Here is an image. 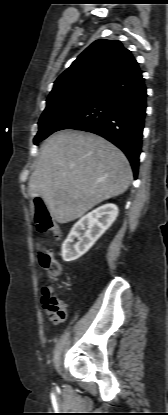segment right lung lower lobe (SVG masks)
I'll list each match as a JSON object with an SVG mask.
<instances>
[{"label": "right lung lower lobe", "mask_w": 168, "mask_h": 415, "mask_svg": "<svg viewBox=\"0 0 168 415\" xmlns=\"http://www.w3.org/2000/svg\"><path fill=\"white\" fill-rule=\"evenodd\" d=\"M146 97L144 78L137 65L128 74L111 83L99 97L57 131L75 129L104 137L124 152L136 178L146 115Z\"/></svg>", "instance_id": "obj_1"}]
</instances>
